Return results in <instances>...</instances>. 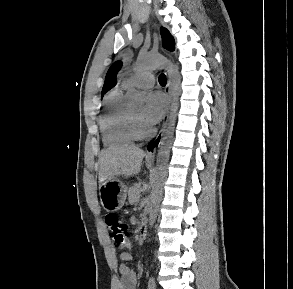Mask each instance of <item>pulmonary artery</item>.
Listing matches in <instances>:
<instances>
[{
  "instance_id": "pulmonary-artery-1",
  "label": "pulmonary artery",
  "mask_w": 293,
  "mask_h": 289,
  "mask_svg": "<svg viewBox=\"0 0 293 289\" xmlns=\"http://www.w3.org/2000/svg\"><path fill=\"white\" fill-rule=\"evenodd\" d=\"M155 83V77L151 71L137 73L133 77L123 82V87L127 88L132 85L140 88H150Z\"/></svg>"
}]
</instances>
